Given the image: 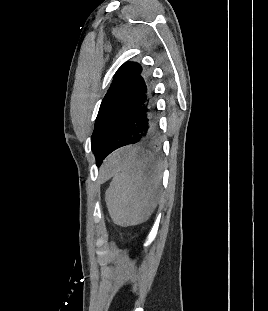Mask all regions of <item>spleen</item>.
Returning <instances> with one entry per match:
<instances>
[{
  "mask_svg": "<svg viewBox=\"0 0 268 311\" xmlns=\"http://www.w3.org/2000/svg\"><path fill=\"white\" fill-rule=\"evenodd\" d=\"M112 181L105 201L112 221L122 227L148 220L157 206L161 165L151 148L126 144L111 160Z\"/></svg>",
  "mask_w": 268,
  "mask_h": 311,
  "instance_id": "spleen-1",
  "label": "spleen"
}]
</instances>
